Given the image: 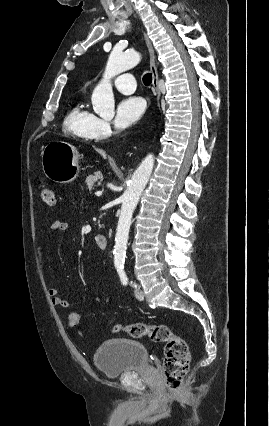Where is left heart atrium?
<instances>
[{
    "mask_svg": "<svg viewBox=\"0 0 269 426\" xmlns=\"http://www.w3.org/2000/svg\"><path fill=\"white\" fill-rule=\"evenodd\" d=\"M145 111V102L140 97L123 99L116 108L114 124L118 129H126L134 125Z\"/></svg>",
    "mask_w": 269,
    "mask_h": 426,
    "instance_id": "39dd6f15",
    "label": "left heart atrium"
}]
</instances>
